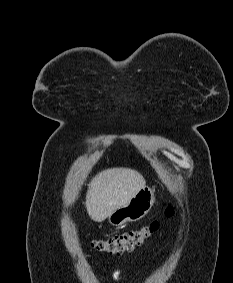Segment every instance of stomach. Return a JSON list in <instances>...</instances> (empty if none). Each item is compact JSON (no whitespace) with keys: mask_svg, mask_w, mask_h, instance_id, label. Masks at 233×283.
<instances>
[{"mask_svg":"<svg viewBox=\"0 0 233 283\" xmlns=\"http://www.w3.org/2000/svg\"><path fill=\"white\" fill-rule=\"evenodd\" d=\"M154 200V190L145 186L127 204L114 210L108 216V221L113 226H121L127 222L138 221L150 211Z\"/></svg>","mask_w":233,"mask_h":283,"instance_id":"obj_1","label":"stomach"}]
</instances>
